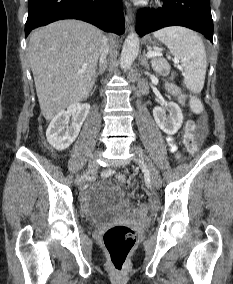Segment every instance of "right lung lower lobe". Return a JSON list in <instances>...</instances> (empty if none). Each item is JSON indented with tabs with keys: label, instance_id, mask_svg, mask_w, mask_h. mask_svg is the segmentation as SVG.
<instances>
[{
	"label": "right lung lower lobe",
	"instance_id": "obj_1",
	"mask_svg": "<svg viewBox=\"0 0 233 284\" xmlns=\"http://www.w3.org/2000/svg\"><path fill=\"white\" fill-rule=\"evenodd\" d=\"M61 19L83 20L116 34L125 31L121 0H29L25 36Z\"/></svg>",
	"mask_w": 233,
	"mask_h": 284
}]
</instances>
